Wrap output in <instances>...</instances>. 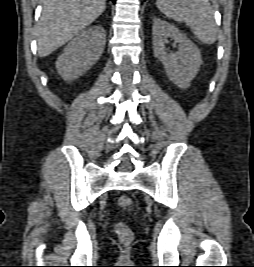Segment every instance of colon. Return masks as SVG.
<instances>
[{
    "instance_id": "5ec220e1",
    "label": "colon",
    "mask_w": 254,
    "mask_h": 267,
    "mask_svg": "<svg viewBox=\"0 0 254 267\" xmlns=\"http://www.w3.org/2000/svg\"><path fill=\"white\" fill-rule=\"evenodd\" d=\"M117 204L121 209L130 210L132 207V199L129 196H121L119 197ZM115 229L120 242L128 244L133 240V230L126 223L118 222Z\"/></svg>"
}]
</instances>
